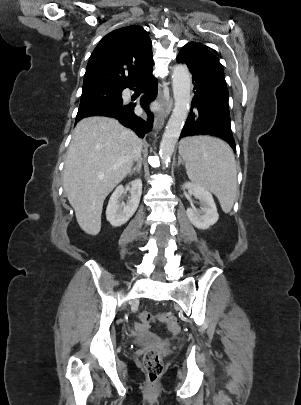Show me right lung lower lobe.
<instances>
[{"instance_id": "1", "label": "right lung lower lobe", "mask_w": 301, "mask_h": 405, "mask_svg": "<svg viewBox=\"0 0 301 405\" xmlns=\"http://www.w3.org/2000/svg\"><path fill=\"white\" fill-rule=\"evenodd\" d=\"M152 69L146 71L142 77L131 87L135 86L146 91V95L141 97V105L148 114L147 119H142L135 115L134 104L123 105L113 104L93 108L85 112H78L76 122L89 116H106L118 119L122 125L132 129L138 136L144 137L153 127V114L148 111V104L157 96V79L152 75Z\"/></svg>"}]
</instances>
